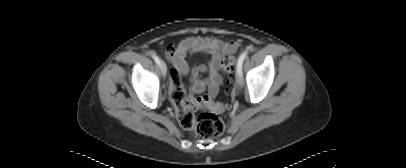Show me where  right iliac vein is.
Wrapping results in <instances>:
<instances>
[{"mask_svg":"<svg viewBox=\"0 0 406 168\" xmlns=\"http://www.w3.org/2000/svg\"><path fill=\"white\" fill-rule=\"evenodd\" d=\"M160 68H161V73H162V75H163V76H166L167 67H166V64H165L163 61H161V66H160Z\"/></svg>","mask_w":406,"mask_h":168,"instance_id":"obj_1","label":"right iliac vein"}]
</instances>
